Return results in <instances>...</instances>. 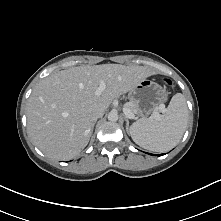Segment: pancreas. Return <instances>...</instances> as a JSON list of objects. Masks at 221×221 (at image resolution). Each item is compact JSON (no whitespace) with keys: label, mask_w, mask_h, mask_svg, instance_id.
Here are the masks:
<instances>
[{"label":"pancreas","mask_w":221,"mask_h":221,"mask_svg":"<svg viewBox=\"0 0 221 221\" xmlns=\"http://www.w3.org/2000/svg\"><path fill=\"white\" fill-rule=\"evenodd\" d=\"M127 108L132 112V113H136V109L134 107V105L130 102L128 105H127Z\"/></svg>","instance_id":"1"}]
</instances>
